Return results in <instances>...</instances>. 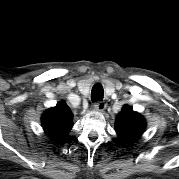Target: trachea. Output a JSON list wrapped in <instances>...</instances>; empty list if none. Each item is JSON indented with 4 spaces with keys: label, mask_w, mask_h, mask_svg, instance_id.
I'll return each instance as SVG.
<instances>
[{
    "label": "trachea",
    "mask_w": 179,
    "mask_h": 179,
    "mask_svg": "<svg viewBox=\"0 0 179 179\" xmlns=\"http://www.w3.org/2000/svg\"><path fill=\"white\" fill-rule=\"evenodd\" d=\"M104 96V90L101 84L96 83L93 87H92V91H91V100L96 102V101H101L103 99Z\"/></svg>",
    "instance_id": "1"
}]
</instances>
